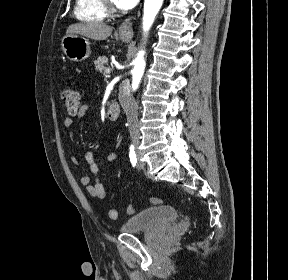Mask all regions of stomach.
I'll use <instances>...</instances> for the list:
<instances>
[{
	"instance_id": "1",
	"label": "stomach",
	"mask_w": 288,
	"mask_h": 280,
	"mask_svg": "<svg viewBox=\"0 0 288 280\" xmlns=\"http://www.w3.org/2000/svg\"><path fill=\"white\" fill-rule=\"evenodd\" d=\"M124 42L129 41L127 37H120ZM62 50L66 57L75 62H81L90 56V43L84 37H79L77 35H66L62 39Z\"/></svg>"
}]
</instances>
